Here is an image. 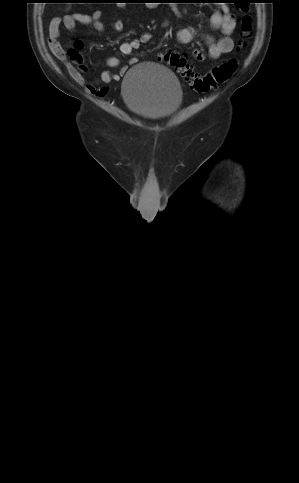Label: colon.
Masks as SVG:
<instances>
[{
  "instance_id": "5ec220e1",
  "label": "colon",
  "mask_w": 299,
  "mask_h": 483,
  "mask_svg": "<svg viewBox=\"0 0 299 483\" xmlns=\"http://www.w3.org/2000/svg\"><path fill=\"white\" fill-rule=\"evenodd\" d=\"M252 25L250 17H244L241 30L244 36H248ZM79 44L69 50V58L71 61L70 72L72 75H82L86 70L83 57L78 50ZM244 47V43L240 49ZM162 58L172 67L176 68L191 87L200 93L209 92L216 89L219 85L228 81L238 67L237 60L229 59L228 61L214 67L209 73L199 75L194 68L187 63L185 57L176 52H166L162 54Z\"/></svg>"
}]
</instances>
